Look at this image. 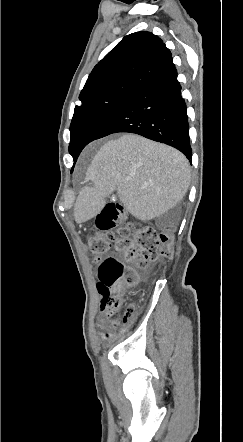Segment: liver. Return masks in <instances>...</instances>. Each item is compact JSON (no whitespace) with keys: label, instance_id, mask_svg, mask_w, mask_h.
Here are the masks:
<instances>
[{"label":"liver","instance_id":"liver-1","mask_svg":"<svg viewBox=\"0 0 243 442\" xmlns=\"http://www.w3.org/2000/svg\"><path fill=\"white\" fill-rule=\"evenodd\" d=\"M86 178L93 186L79 192L74 207L76 223L98 215L108 193L114 190L135 218L149 221L182 200L190 185L191 168L178 150L139 135L124 134L99 149Z\"/></svg>","mask_w":243,"mask_h":442}]
</instances>
